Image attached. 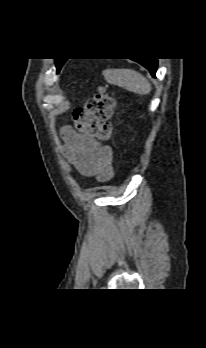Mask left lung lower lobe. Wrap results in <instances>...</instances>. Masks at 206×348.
I'll use <instances>...</instances> for the list:
<instances>
[{"instance_id": "left-lung-lower-lobe-1", "label": "left lung lower lobe", "mask_w": 206, "mask_h": 348, "mask_svg": "<svg viewBox=\"0 0 206 348\" xmlns=\"http://www.w3.org/2000/svg\"><path fill=\"white\" fill-rule=\"evenodd\" d=\"M136 62L140 63L144 67H146L151 75L155 77L156 69H157V60L156 59H142V60H135Z\"/></svg>"}]
</instances>
